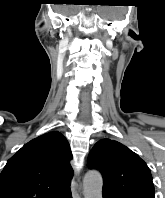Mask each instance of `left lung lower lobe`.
Returning a JSON list of instances; mask_svg holds the SVG:
<instances>
[{"label":"left lung lower lobe","mask_w":165,"mask_h":198,"mask_svg":"<svg viewBox=\"0 0 165 198\" xmlns=\"http://www.w3.org/2000/svg\"><path fill=\"white\" fill-rule=\"evenodd\" d=\"M102 192H103V198H122L120 195L107 188H103Z\"/></svg>","instance_id":"left-lung-lower-lobe-1"}]
</instances>
